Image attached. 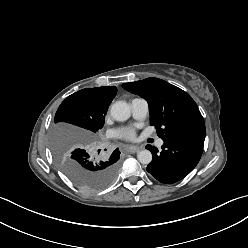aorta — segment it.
<instances>
[{"mask_svg":"<svg viewBox=\"0 0 248 248\" xmlns=\"http://www.w3.org/2000/svg\"><path fill=\"white\" fill-rule=\"evenodd\" d=\"M110 114L116 121H126L131 115V110L125 101H116L110 108ZM137 158L141 164H149L152 161V154L144 149L138 152Z\"/></svg>","mask_w":248,"mask_h":248,"instance_id":"762f6f07","label":"aorta"}]
</instances>
